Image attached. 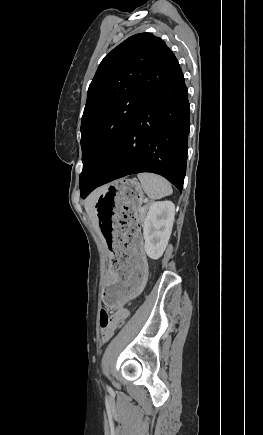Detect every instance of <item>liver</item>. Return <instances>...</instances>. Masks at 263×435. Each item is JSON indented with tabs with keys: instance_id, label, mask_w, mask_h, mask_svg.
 <instances>
[{
	"instance_id": "6515ba94",
	"label": "liver",
	"mask_w": 263,
	"mask_h": 435,
	"mask_svg": "<svg viewBox=\"0 0 263 435\" xmlns=\"http://www.w3.org/2000/svg\"><path fill=\"white\" fill-rule=\"evenodd\" d=\"M100 190H101V189H100ZM100 190L94 192V193H93V194H92V195L87 199V201H86V203H85V210H86V212H87L89 218H90V219L92 220V222L94 223L95 228H96V231H97L99 234H100V229H99L98 224H97V217H96V214H95L94 203H95V200H96V198H97V196H98Z\"/></svg>"
}]
</instances>
